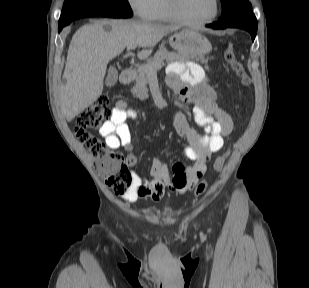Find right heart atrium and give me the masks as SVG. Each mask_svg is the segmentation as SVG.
Here are the masks:
<instances>
[{
	"instance_id": "1",
	"label": "right heart atrium",
	"mask_w": 309,
	"mask_h": 288,
	"mask_svg": "<svg viewBox=\"0 0 309 288\" xmlns=\"http://www.w3.org/2000/svg\"><path fill=\"white\" fill-rule=\"evenodd\" d=\"M131 10L142 19H150L156 0H127Z\"/></svg>"
}]
</instances>
